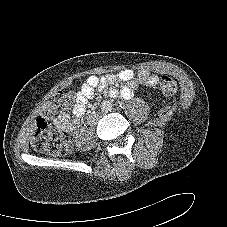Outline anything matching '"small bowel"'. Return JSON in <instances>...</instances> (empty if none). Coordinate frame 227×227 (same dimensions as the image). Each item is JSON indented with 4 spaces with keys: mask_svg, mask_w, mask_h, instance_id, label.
<instances>
[{
    "mask_svg": "<svg viewBox=\"0 0 227 227\" xmlns=\"http://www.w3.org/2000/svg\"><path fill=\"white\" fill-rule=\"evenodd\" d=\"M117 81L126 82L127 84L118 89L114 87ZM158 82V76L145 69L135 73L131 69H124L118 73H111L102 76L91 75L81 85L75 95V103L72 108L73 118L63 112L53 121L56 129L64 134L74 132L79 127L82 117L86 112L87 103L94 97L96 89H108L111 97L121 96L129 99L133 96L134 90L140 85L154 86Z\"/></svg>",
    "mask_w": 227,
    "mask_h": 227,
    "instance_id": "1",
    "label": "small bowel"
}]
</instances>
